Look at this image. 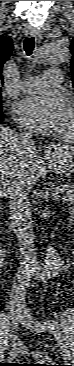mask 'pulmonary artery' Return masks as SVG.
Instances as JSON below:
<instances>
[{
	"label": "pulmonary artery",
	"mask_w": 74,
	"mask_h": 366,
	"mask_svg": "<svg viewBox=\"0 0 74 366\" xmlns=\"http://www.w3.org/2000/svg\"><path fill=\"white\" fill-rule=\"evenodd\" d=\"M62 79L63 74L59 69L48 70L41 76L25 79L21 83L20 89L25 93L36 94L48 87L59 86Z\"/></svg>",
	"instance_id": "e3ab8cb5"
}]
</instances>
